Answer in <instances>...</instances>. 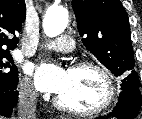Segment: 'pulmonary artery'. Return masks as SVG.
Returning <instances> with one entry per match:
<instances>
[{
	"instance_id": "e3ab8cb5",
	"label": "pulmonary artery",
	"mask_w": 142,
	"mask_h": 119,
	"mask_svg": "<svg viewBox=\"0 0 142 119\" xmlns=\"http://www.w3.org/2000/svg\"><path fill=\"white\" fill-rule=\"evenodd\" d=\"M43 47L62 53H70L74 49L73 39L67 35L45 42Z\"/></svg>"
}]
</instances>
